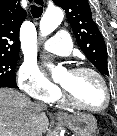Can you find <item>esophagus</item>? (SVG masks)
I'll list each match as a JSON object with an SVG mask.
<instances>
[{"label":"esophagus","mask_w":117,"mask_h":136,"mask_svg":"<svg viewBox=\"0 0 117 136\" xmlns=\"http://www.w3.org/2000/svg\"><path fill=\"white\" fill-rule=\"evenodd\" d=\"M35 4L37 6H43L45 4V1L44 0H34ZM38 2V3H37ZM56 116L60 119H66L67 118V115L63 112H57L56 113Z\"/></svg>","instance_id":"obj_1"}]
</instances>
